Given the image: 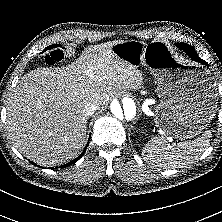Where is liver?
Masks as SVG:
<instances>
[{"label":"liver","instance_id":"obj_1","mask_svg":"<svg viewBox=\"0 0 222 222\" xmlns=\"http://www.w3.org/2000/svg\"><path fill=\"white\" fill-rule=\"evenodd\" d=\"M116 42L86 48L66 67H41L21 78L8 99L6 125L24 156L42 166L74 159L86 142L85 105L101 106L143 85L141 71L111 51Z\"/></svg>","mask_w":222,"mask_h":222}]
</instances>
